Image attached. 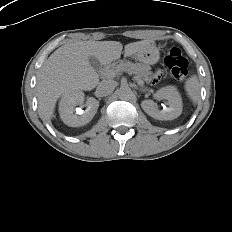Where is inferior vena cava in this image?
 I'll list each match as a JSON object with an SVG mask.
<instances>
[{
    "label": "inferior vena cava",
    "mask_w": 232,
    "mask_h": 232,
    "mask_svg": "<svg viewBox=\"0 0 232 232\" xmlns=\"http://www.w3.org/2000/svg\"><path fill=\"white\" fill-rule=\"evenodd\" d=\"M115 87L116 82L114 80H103L97 86L96 95L99 97L110 95Z\"/></svg>",
    "instance_id": "602c4592"
}]
</instances>
